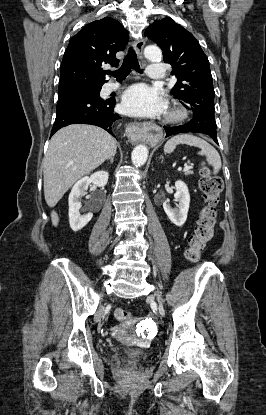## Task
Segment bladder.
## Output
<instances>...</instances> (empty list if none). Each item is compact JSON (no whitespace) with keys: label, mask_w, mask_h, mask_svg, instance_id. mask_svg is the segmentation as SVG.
Listing matches in <instances>:
<instances>
[{"label":"bladder","mask_w":266,"mask_h":415,"mask_svg":"<svg viewBox=\"0 0 266 415\" xmlns=\"http://www.w3.org/2000/svg\"><path fill=\"white\" fill-rule=\"evenodd\" d=\"M128 353H130V354H132L136 357H140V358H143L148 354V352L146 350H143V349H131V350H128Z\"/></svg>","instance_id":"obj_1"}]
</instances>
